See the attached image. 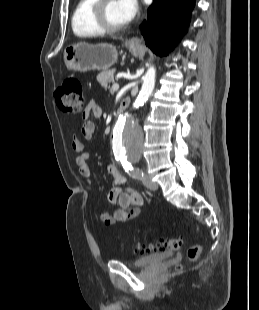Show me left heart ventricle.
Returning <instances> with one entry per match:
<instances>
[{
  "label": "left heart ventricle",
  "instance_id": "b2bd125f",
  "mask_svg": "<svg viewBox=\"0 0 259 310\" xmlns=\"http://www.w3.org/2000/svg\"><path fill=\"white\" fill-rule=\"evenodd\" d=\"M105 19L109 25L121 26L124 23L117 0H109L105 8Z\"/></svg>",
  "mask_w": 259,
  "mask_h": 310
}]
</instances>
